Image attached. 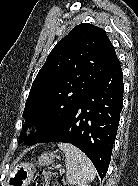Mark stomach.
<instances>
[{
    "label": "stomach",
    "mask_w": 138,
    "mask_h": 186,
    "mask_svg": "<svg viewBox=\"0 0 138 186\" xmlns=\"http://www.w3.org/2000/svg\"><path fill=\"white\" fill-rule=\"evenodd\" d=\"M55 156V153H43L37 163L41 166L50 165ZM34 172L35 167L31 163L15 165L9 173L7 186H27L31 182Z\"/></svg>",
    "instance_id": "obj_1"
}]
</instances>
